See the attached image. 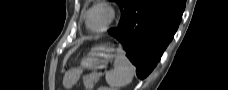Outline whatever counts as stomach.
Wrapping results in <instances>:
<instances>
[{"label":"stomach","instance_id":"1","mask_svg":"<svg viewBox=\"0 0 228 90\" xmlns=\"http://www.w3.org/2000/svg\"><path fill=\"white\" fill-rule=\"evenodd\" d=\"M114 48L108 45H100L91 49L88 55L82 60L81 66L70 69L65 75V83L73 85L77 82L83 69L96 70L107 66L113 58Z\"/></svg>","mask_w":228,"mask_h":90}]
</instances>
